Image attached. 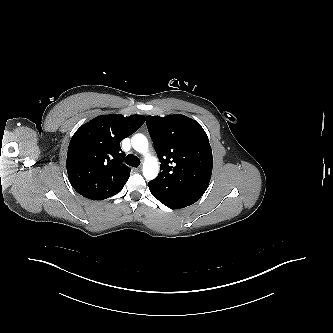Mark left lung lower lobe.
I'll return each instance as SVG.
<instances>
[{
    "instance_id": "left-lung-lower-lobe-1",
    "label": "left lung lower lobe",
    "mask_w": 333,
    "mask_h": 333,
    "mask_svg": "<svg viewBox=\"0 0 333 333\" xmlns=\"http://www.w3.org/2000/svg\"><path fill=\"white\" fill-rule=\"evenodd\" d=\"M152 195L169 208L180 209L194 204L201 196L185 194L179 191H163L162 194L148 184Z\"/></svg>"
}]
</instances>
